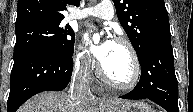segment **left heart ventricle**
Wrapping results in <instances>:
<instances>
[{"label": "left heart ventricle", "instance_id": "obj_1", "mask_svg": "<svg viewBox=\"0 0 193 112\" xmlns=\"http://www.w3.org/2000/svg\"><path fill=\"white\" fill-rule=\"evenodd\" d=\"M101 66L107 76L118 83H126L132 76L133 64L130 53L124 45L116 42Z\"/></svg>", "mask_w": 193, "mask_h": 112}]
</instances>
